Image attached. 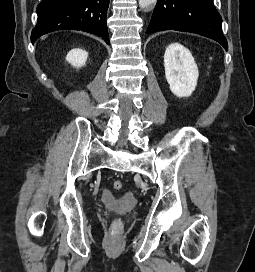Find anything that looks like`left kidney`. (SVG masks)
<instances>
[{"mask_svg": "<svg viewBox=\"0 0 255 272\" xmlns=\"http://www.w3.org/2000/svg\"><path fill=\"white\" fill-rule=\"evenodd\" d=\"M164 68L171 92L179 98L191 96L199 73L190 51L180 43L170 44L164 54Z\"/></svg>", "mask_w": 255, "mask_h": 272, "instance_id": "left-kidney-1", "label": "left kidney"}]
</instances>
